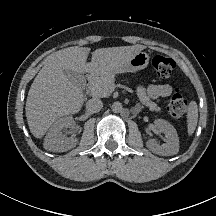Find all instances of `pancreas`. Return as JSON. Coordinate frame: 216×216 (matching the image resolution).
Wrapping results in <instances>:
<instances>
[{
	"label": "pancreas",
	"instance_id": "cf45deb5",
	"mask_svg": "<svg viewBox=\"0 0 216 216\" xmlns=\"http://www.w3.org/2000/svg\"><path fill=\"white\" fill-rule=\"evenodd\" d=\"M114 86V77L112 75H102L101 77L93 79L90 82L88 89L92 96L107 97L114 90ZM137 96L140 102L147 106L151 111H161V108L158 107L155 102H152L146 95V90L144 87H137Z\"/></svg>",
	"mask_w": 216,
	"mask_h": 216
}]
</instances>
